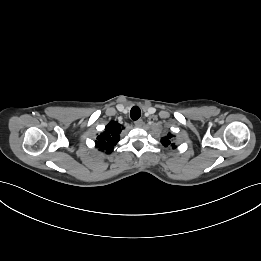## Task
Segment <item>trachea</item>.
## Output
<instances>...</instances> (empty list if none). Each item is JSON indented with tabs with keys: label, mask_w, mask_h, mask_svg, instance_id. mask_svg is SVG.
I'll use <instances>...</instances> for the list:
<instances>
[{
	"label": "trachea",
	"mask_w": 261,
	"mask_h": 261,
	"mask_svg": "<svg viewBox=\"0 0 261 261\" xmlns=\"http://www.w3.org/2000/svg\"><path fill=\"white\" fill-rule=\"evenodd\" d=\"M141 116V110L138 106L132 107L130 111V117L132 120H138Z\"/></svg>",
	"instance_id": "trachea-1"
}]
</instances>
